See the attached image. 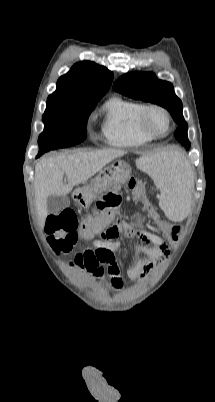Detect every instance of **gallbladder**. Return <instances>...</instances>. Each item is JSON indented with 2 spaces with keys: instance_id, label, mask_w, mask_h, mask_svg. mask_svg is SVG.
I'll use <instances>...</instances> for the list:
<instances>
[{
  "instance_id": "obj_1",
  "label": "gallbladder",
  "mask_w": 215,
  "mask_h": 402,
  "mask_svg": "<svg viewBox=\"0 0 215 402\" xmlns=\"http://www.w3.org/2000/svg\"><path fill=\"white\" fill-rule=\"evenodd\" d=\"M70 204L69 198L66 195L49 196L47 198V209L51 214H58Z\"/></svg>"
}]
</instances>
